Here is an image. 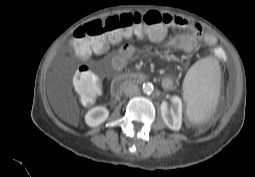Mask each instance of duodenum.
<instances>
[{
    "mask_svg": "<svg viewBox=\"0 0 255 177\" xmlns=\"http://www.w3.org/2000/svg\"><path fill=\"white\" fill-rule=\"evenodd\" d=\"M146 80V75L141 73H128L116 77L111 85L112 92L118 96L124 87L130 84L141 83Z\"/></svg>",
    "mask_w": 255,
    "mask_h": 177,
    "instance_id": "duodenum-1",
    "label": "duodenum"
}]
</instances>
